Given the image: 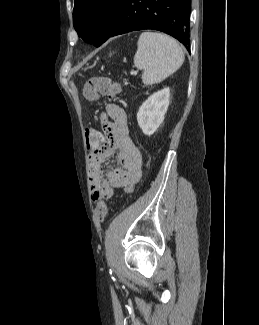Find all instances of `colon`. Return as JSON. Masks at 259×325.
<instances>
[{
    "label": "colon",
    "instance_id": "obj_1",
    "mask_svg": "<svg viewBox=\"0 0 259 325\" xmlns=\"http://www.w3.org/2000/svg\"><path fill=\"white\" fill-rule=\"evenodd\" d=\"M122 92L121 85L106 76H97L90 78L84 84L83 94L88 101H96L101 97L115 98ZM92 126L87 128L85 132L86 136V148L87 149H100V135H97V131ZM108 214V207L106 203L99 200L96 206V216L100 222H103Z\"/></svg>",
    "mask_w": 259,
    "mask_h": 325
}]
</instances>
